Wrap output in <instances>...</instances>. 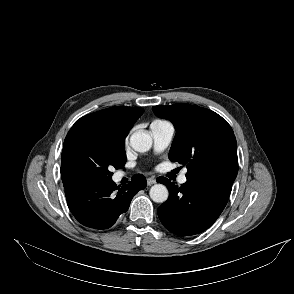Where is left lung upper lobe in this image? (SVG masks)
Segmentation results:
<instances>
[{
    "label": "left lung upper lobe",
    "mask_w": 294,
    "mask_h": 294,
    "mask_svg": "<svg viewBox=\"0 0 294 294\" xmlns=\"http://www.w3.org/2000/svg\"><path fill=\"white\" fill-rule=\"evenodd\" d=\"M175 129L169 159L187 165V178L228 169L237 174V143L231 126L217 113L186 103L154 106Z\"/></svg>",
    "instance_id": "1"
}]
</instances>
